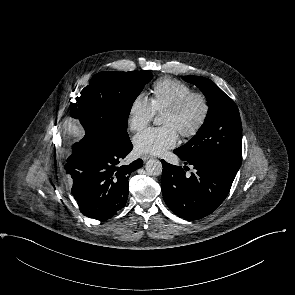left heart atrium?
Segmentation results:
<instances>
[{
	"label": "left heart atrium",
	"mask_w": 295,
	"mask_h": 295,
	"mask_svg": "<svg viewBox=\"0 0 295 295\" xmlns=\"http://www.w3.org/2000/svg\"><path fill=\"white\" fill-rule=\"evenodd\" d=\"M178 132L168 126L148 128L133 139L135 150L141 154L162 155L176 146Z\"/></svg>",
	"instance_id": "39dd6f15"
}]
</instances>
